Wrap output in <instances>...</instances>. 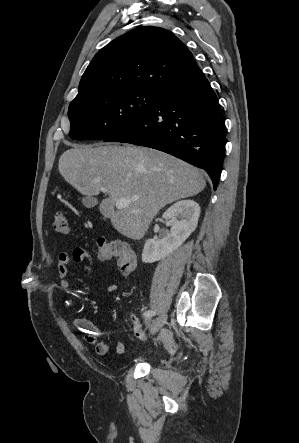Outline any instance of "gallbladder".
Returning a JSON list of instances; mask_svg holds the SVG:
<instances>
[{"instance_id":"1","label":"gallbladder","mask_w":299,"mask_h":443,"mask_svg":"<svg viewBox=\"0 0 299 443\" xmlns=\"http://www.w3.org/2000/svg\"><path fill=\"white\" fill-rule=\"evenodd\" d=\"M82 202H83V205L86 207V208H92V207H94L96 204H97V200L95 199V198H93V197H84L83 199H82Z\"/></svg>"}]
</instances>
